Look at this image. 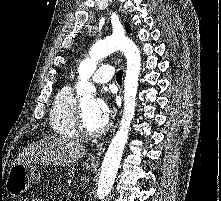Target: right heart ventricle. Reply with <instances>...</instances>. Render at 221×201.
Masks as SVG:
<instances>
[{"instance_id":"obj_1","label":"right heart ventricle","mask_w":221,"mask_h":201,"mask_svg":"<svg viewBox=\"0 0 221 201\" xmlns=\"http://www.w3.org/2000/svg\"><path fill=\"white\" fill-rule=\"evenodd\" d=\"M78 100L70 85L57 92L50 111V125L54 133L64 138L78 135L76 129V109Z\"/></svg>"}]
</instances>
